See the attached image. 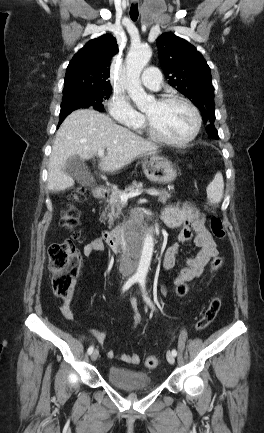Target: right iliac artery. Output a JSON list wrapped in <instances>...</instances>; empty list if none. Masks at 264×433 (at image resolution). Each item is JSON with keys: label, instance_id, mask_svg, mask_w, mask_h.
Instances as JSON below:
<instances>
[{"label": "right iliac artery", "instance_id": "1", "mask_svg": "<svg viewBox=\"0 0 264 433\" xmlns=\"http://www.w3.org/2000/svg\"><path fill=\"white\" fill-rule=\"evenodd\" d=\"M139 279L137 277H131L126 281V283L123 286V292L128 290L134 283H136ZM94 350L93 346H90L87 350L88 354L90 355Z\"/></svg>", "mask_w": 264, "mask_h": 433}]
</instances>
